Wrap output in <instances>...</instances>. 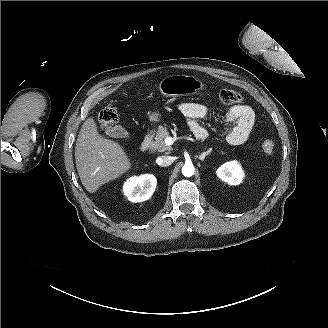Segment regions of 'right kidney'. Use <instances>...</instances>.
Masks as SVG:
<instances>
[{"instance_id":"right-kidney-1","label":"right kidney","mask_w":328,"mask_h":328,"mask_svg":"<svg viewBox=\"0 0 328 328\" xmlns=\"http://www.w3.org/2000/svg\"><path fill=\"white\" fill-rule=\"evenodd\" d=\"M157 179L152 174L132 176L123 185V193L131 202L148 200L154 193Z\"/></svg>"}]
</instances>
